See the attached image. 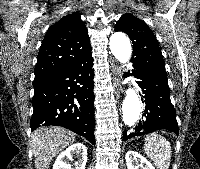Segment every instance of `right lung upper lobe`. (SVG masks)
I'll list each match as a JSON object with an SVG mask.
<instances>
[{
    "label": "right lung upper lobe",
    "instance_id": "cb5924a9",
    "mask_svg": "<svg viewBox=\"0 0 200 169\" xmlns=\"http://www.w3.org/2000/svg\"><path fill=\"white\" fill-rule=\"evenodd\" d=\"M91 54L88 31L78 13L52 25L42 42L35 66V79L66 70Z\"/></svg>",
    "mask_w": 200,
    "mask_h": 169
}]
</instances>
